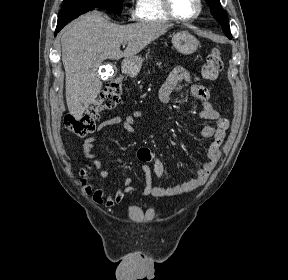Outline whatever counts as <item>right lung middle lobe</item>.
<instances>
[{
	"label": "right lung middle lobe",
	"instance_id": "right-lung-middle-lobe-1",
	"mask_svg": "<svg viewBox=\"0 0 288 280\" xmlns=\"http://www.w3.org/2000/svg\"><path fill=\"white\" fill-rule=\"evenodd\" d=\"M122 4L123 0H64L58 14V20L91 8L106 9L116 15H121Z\"/></svg>",
	"mask_w": 288,
	"mask_h": 280
}]
</instances>
